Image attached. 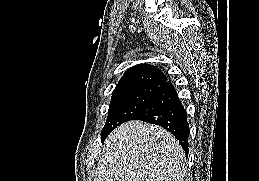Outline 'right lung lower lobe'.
Instances as JSON below:
<instances>
[{"instance_id":"1","label":"right lung lower lobe","mask_w":259,"mask_h":181,"mask_svg":"<svg viewBox=\"0 0 259 181\" xmlns=\"http://www.w3.org/2000/svg\"><path fill=\"white\" fill-rule=\"evenodd\" d=\"M132 120H142L170 131L188 154L189 125L186 111L170 81L160 85L152 100ZM107 136L101 137V140Z\"/></svg>"}]
</instances>
